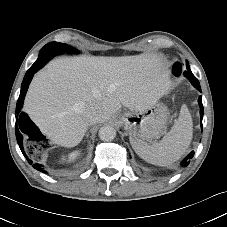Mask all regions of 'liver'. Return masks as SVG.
<instances>
[{
  "label": "liver",
  "instance_id": "1",
  "mask_svg": "<svg viewBox=\"0 0 227 227\" xmlns=\"http://www.w3.org/2000/svg\"><path fill=\"white\" fill-rule=\"evenodd\" d=\"M170 71L157 55L65 57L52 60L37 73L27 92L24 110L55 144L74 147L97 111L105 122L122 105L145 111L169 92Z\"/></svg>",
  "mask_w": 227,
  "mask_h": 227
}]
</instances>
